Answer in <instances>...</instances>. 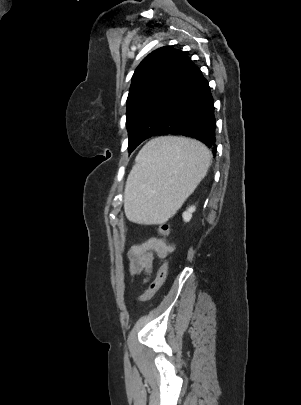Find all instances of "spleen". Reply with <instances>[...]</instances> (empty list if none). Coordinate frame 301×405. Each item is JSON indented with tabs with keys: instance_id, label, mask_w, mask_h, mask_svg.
Listing matches in <instances>:
<instances>
[{
	"instance_id": "obj_1",
	"label": "spleen",
	"mask_w": 301,
	"mask_h": 405,
	"mask_svg": "<svg viewBox=\"0 0 301 405\" xmlns=\"http://www.w3.org/2000/svg\"><path fill=\"white\" fill-rule=\"evenodd\" d=\"M211 160L210 151L196 140L165 136L149 141L126 182V217L142 224L167 221L206 176Z\"/></svg>"
}]
</instances>
